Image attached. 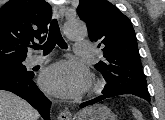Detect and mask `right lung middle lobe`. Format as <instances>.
I'll use <instances>...</instances> for the list:
<instances>
[{
	"instance_id": "obj_1",
	"label": "right lung middle lobe",
	"mask_w": 165,
	"mask_h": 120,
	"mask_svg": "<svg viewBox=\"0 0 165 120\" xmlns=\"http://www.w3.org/2000/svg\"><path fill=\"white\" fill-rule=\"evenodd\" d=\"M24 60L0 62V74L22 77H33L34 73L27 71L22 64Z\"/></svg>"
}]
</instances>
